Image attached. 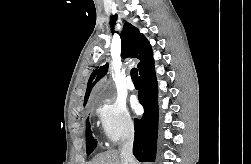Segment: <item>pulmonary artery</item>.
<instances>
[{"label": "pulmonary artery", "mask_w": 251, "mask_h": 164, "mask_svg": "<svg viewBox=\"0 0 251 164\" xmlns=\"http://www.w3.org/2000/svg\"><path fill=\"white\" fill-rule=\"evenodd\" d=\"M127 88L129 90H134V88H135L134 83L132 82V80L130 78H128V80H127Z\"/></svg>", "instance_id": "obj_1"}]
</instances>
